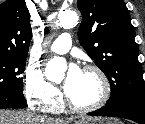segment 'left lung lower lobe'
Instances as JSON below:
<instances>
[{"label": "left lung lower lobe", "mask_w": 145, "mask_h": 124, "mask_svg": "<svg viewBox=\"0 0 145 124\" xmlns=\"http://www.w3.org/2000/svg\"><path fill=\"white\" fill-rule=\"evenodd\" d=\"M92 116H111L133 120L138 124H145V104L125 100L112 105H106L89 113Z\"/></svg>", "instance_id": "0a47b994"}]
</instances>
